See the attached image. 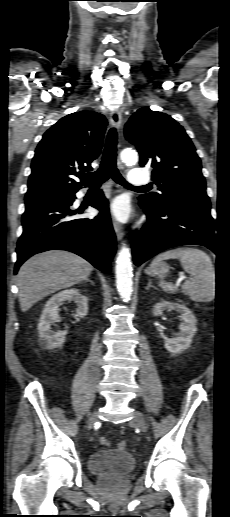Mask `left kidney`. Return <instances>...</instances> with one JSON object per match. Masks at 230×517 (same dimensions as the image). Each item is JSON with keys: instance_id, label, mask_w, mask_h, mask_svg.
I'll return each mask as SVG.
<instances>
[{"instance_id": "left-kidney-1", "label": "left kidney", "mask_w": 230, "mask_h": 517, "mask_svg": "<svg viewBox=\"0 0 230 517\" xmlns=\"http://www.w3.org/2000/svg\"><path fill=\"white\" fill-rule=\"evenodd\" d=\"M171 310L179 312L183 321L179 326L180 332L176 334L175 337H163L164 346L171 353H181L182 351L188 349L192 343V338L197 331V320L192 311L185 305L171 303L168 301H161L155 304L153 306L152 312L154 316H160L164 311Z\"/></svg>"}]
</instances>
